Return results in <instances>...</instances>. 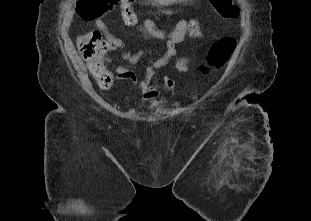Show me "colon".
Returning a JSON list of instances; mask_svg holds the SVG:
<instances>
[{"instance_id":"5ec220e1","label":"colon","mask_w":311,"mask_h":221,"mask_svg":"<svg viewBox=\"0 0 311 221\" xmlns=\"http://www.w3.org/2000/svg\"><path fill=\"white\" fill-rule=\"evenodd\" d=\"M76 4L78 10V22H89L92 17H108L109 12H115L118 8L112 4H121L124 13V21L127 27L133 28L137 22V15L133 10L134 0H81ZM214 9H220L221 16L225 20H233L239 16L240 2L234 0H214ZM91 17V18H90ZM187 34L194 39L203 36V29L199 20L192 19L187 23ZM234 36H224L217 40L209 49L207 60L199 69L203 75H208L211 69L223 67L236 49ZM77 49L87 62L90 75L102 88L109 87L113 82V76L107 64V56L110 48L108 41L102 37L98 30L88 31L77 39Z\"/></svg>"}]
</instances>
